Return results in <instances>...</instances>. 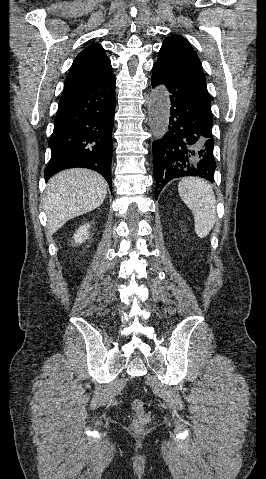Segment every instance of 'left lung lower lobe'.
Masks as SVG:
<instances>
[{"mask_svg": "<svg viewBox=\"0 0 266 479\" xmlns=\"http://www.w3.org/2000/svg\"><path fill=\"white\" fill-rule=\"evenodd\" d=\"M152 86L163 84L171 93L168 132L152 144L155 198L172 179L199 176L214 182L211 102L207 91L154 64Z\"/></svg>", "mask_w": 266, "mask_h": 479, "instance_id": "obj_1", "label": "left lung lower lobe"}]
</instances>
